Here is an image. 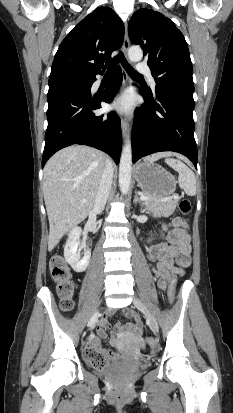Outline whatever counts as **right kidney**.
<instances>
[{"instance_id":"ca27d5eb","label":"right kidney","mask_w":233,"mask_h":413,"mask_svg":"<svg viewBox=\"0 0 233 413\" xmlns=\"http://www.w3.org/2000/svg\"><path fill=\"white\" fill-rule=\"evenodd\" d=\"M82 229L78 226L73 227L68 234V239L64 246V257L65 260L71 265L75 272H83L86 270L89 265L91 251L86 245H81L80 235ZM81 246L84 248V256L81 259L80 254L78 253V247Z\"/></svg>"}]
</instances>
